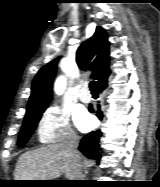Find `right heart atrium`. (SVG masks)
Returning <instances> with one entry per match:
<instances>
[{
  "mask_svg": "<svg viewBox=\"0 0 160 187\" xmlns=\"http://www.w3.org/2000/svg\"><path fill=\"white\" fill-rule=\"evenodd\" d=\"M37 132L40 142L44 144H75L78 142L70 115L55 105L48 107L42 113Z\"/></svg>",
  "mask_w": 160,
  "mask_h": 187,
  "instance_id": "obj_1",
  "label": "right heart atrium"
}]
</instances>
